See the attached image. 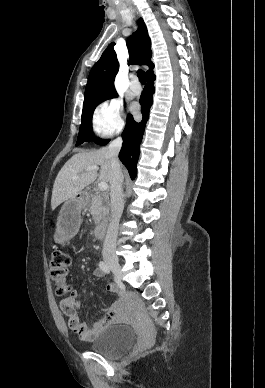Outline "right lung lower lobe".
I'll list each match as a JSON object with an SVG mask.
<instances>
[{
	"instance_id": "obj_1",
	"label": "right lung lower lobe",
	"mask_w": 265,
	"mask_h": 388,
	"mask_svg": "<svg viewBox=\"0 0 265 388\" xmlns=\"http://www.w3.org/2000/svg\"><path fill=\"white\" fill-rule=\"evenodd\" d=\"M155 74L151 72L147 75V85L145 86L141 98V112L143 115L141 122H136L132 115L127 116V124L122 133L123 145L119 153V158L129 171L131 179L137 175V161L139 158V146L143 138L146 122L149 117V109L153 102Z\"/></svg>"
}]
</instances>
